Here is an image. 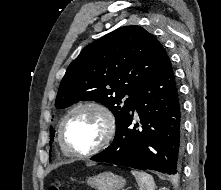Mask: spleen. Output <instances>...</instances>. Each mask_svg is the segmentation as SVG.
Segmentation results:
<instances>
[{"label":"spleen","mask_w":221,"mask_h":190,"mask_svg":"<svg viewBox=\"0 0 221 190\" xmlns=\"http://www.w3.org/2000/svg\"><path fill=\"white\" fill-rule=\"evenodd\" d=\"M131 173L135 177L140 190H155V182L150 174L136 170H132Z\"/></svg>","instance_id":"spleen-1"}]
</instances>
